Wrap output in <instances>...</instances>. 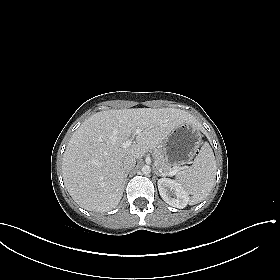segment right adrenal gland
<instances>
[{
	"instance_id": "2a0ac1e0",
	"label": "right adrenal gland",
	"mask_w": 280,
	"mask_h": 280,
	"mask_svg": "<svg viewBox=\"0 0 280 280\" xmlns=\"http://www.w3.org/2000/svg\"><path fill=\"white\" fill-rule=\"evenodd\" d=\"M128 174H129V172H126V173H125L124 184H125V182H126V180H127Z\"/></svg>"
}]
</instances>
